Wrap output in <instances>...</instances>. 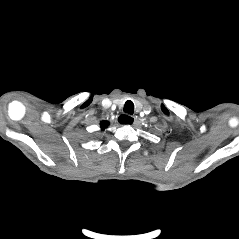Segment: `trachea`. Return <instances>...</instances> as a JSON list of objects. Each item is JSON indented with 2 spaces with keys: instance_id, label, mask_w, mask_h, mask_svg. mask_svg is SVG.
I'll return each instance as SVG.
<instances>
[{
  "instance_id": "trachea-1",
  "label": "trachea",
  "mask_w": 239,
  "mask_h": 239,
  "mask_svg": "<svg viewBox=\"0 0 239 239\" xmlns=\"http://www.w3.org/2000/svg\"><path fill=\"white\" fill-rule=\"evenodd\" d=\"M124 112L128 113L130 115H133L134 113V104L132 101L128 100L126 101L125 105H124Z\"/></svg>"
}]
</instances>
